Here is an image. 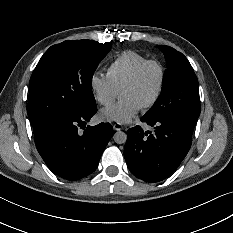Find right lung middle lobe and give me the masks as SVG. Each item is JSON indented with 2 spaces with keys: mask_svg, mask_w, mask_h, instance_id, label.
<instances>
[{
  "mask_svg": "<svg viewBox=\"0 0 233 233\" xmlns=\"http://www.w3.org/2000/svg\"><path fill=\"white\" fill-rule=\"evenodd\" d=\"M110 49L108 42L86 39L51 46L30 78L27 114L31 125L64 119L95 102L93 73Z\"/></svg>",
  "mask_w": 233,
  "mask_h": 233,
  "instance_id": "obj_1",
  "label": "right lung middle lobe"
}]
</instances>
